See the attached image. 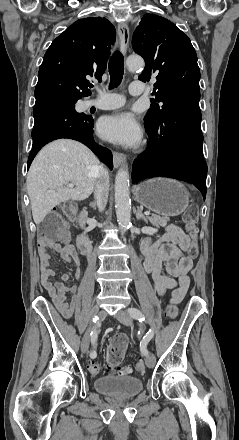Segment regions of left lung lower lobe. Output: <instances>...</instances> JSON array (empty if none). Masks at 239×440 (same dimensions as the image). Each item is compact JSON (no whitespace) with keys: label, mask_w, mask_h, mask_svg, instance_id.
Returning <instances> with one entry per match:
<instances>
[{"label":"left lung lower lobe","mask_w":239,"mask_h":440,"mask_svg":"<svg viewBox=\"0 0 239 440\" xmlns=\"http://www.w3.org/2000/svg\"><path fill=\"white\" fill-rule=\"evenodd\" d=\"M199 106L179 105L146 125L149 149L133 163L132 180L170 177L193 183L206 197L207 164L203 157Z\"/></svg>","instance_id":"obj_1"}]
</instances>
